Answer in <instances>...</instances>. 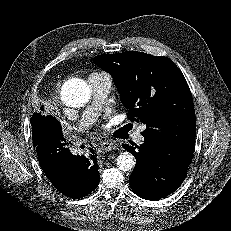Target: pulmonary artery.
<instances>
[{
  "mask_svg": "<svg viewBox=\"0 0 231 231\" xmlns=\"http://www.w3.org/2000/svg\"><path fill=\"white\" fill-rule=\"evenodd\" d=\"M89 82L93 90L94 100L84 112L79 123L80 128L87 126L94 120L96 114L104 105L106 97L112 86L111 78L106 76H90ZM142 130L143 129L140 128L133 134L134 141L138 144H142L144 142Z\"/></svg>",
  "mask_w": 231,
  "mask_h": 231,
  "instance_id": "pulmonary-artery-1",
  "label": "pulmonary artery"
}]
</instances>
